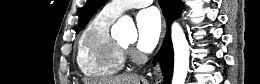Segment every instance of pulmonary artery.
Here are the masks:
<instances>
[{"label":"pulmonary artery","mask_w":260,"mask_h":84,"mask_svg":"<svg viewBox=\"0 0 260 84\" xmlns=\"http://www.w3.org/2000/svg\"><path fill=\"white\" fill-rule=\"evenodd\" d=\"M152 2L153 1L151 0L111 1L104 7V10L117 17L128 9L145 7L150 5Z\"/></svg>","instance_id":"obj_1"}]
</instances>
